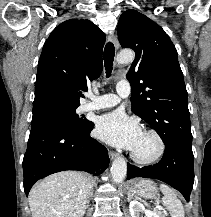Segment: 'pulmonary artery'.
<instances>
[{"label":"pulmonary artery","instance_id":"1","mask_svg":"<svg viewBox=\"0 0 211 217\" xmlns=\"http://www.w3.org/2000/svg\"><path fill=\"white\" fill-rule=\"evenodd\" d=\"M130 91L129 82L127 80H121L116 85V94H105L95 97L89 93L88 96L91 98V101L84 104L82 109L84 111H93L116 106L122 98L129 96Z\"/></svg>","mask_w":211,"mask_h":217}]
</instances>
